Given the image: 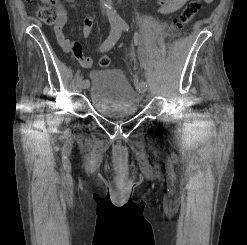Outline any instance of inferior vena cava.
<instances>
[{
  "instance_id": "obj_1",
  "label": "inferior vena cava",
  "mask_w": 247,
  "mask_h": 245,
  "mask_svg": "<svg viewBox=\"0 0 247 245\" xmlns=\"http://www.w3.org/2000/svg\"><path fill=\"white\" fill-rule=\"evenodd\" d=\"M104 0H100V5L102 6V13L104 14Z\"/></svg>"
}]
</instances>
